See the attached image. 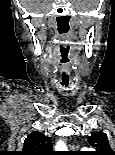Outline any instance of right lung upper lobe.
Wrapping results in <instances>:
<instances>
[{"instance_id": "obj_1", "label": "right lung upper lobe", "mask_w": 115, "mask_h": 155, "mask_svg": "<svg viewBox=\"0 0 115 155\" xmlns=\"http://www.w3.org/2000/svg\"><path fill=\"white\" fill-rule=\"evenodd\" d=\"M20 155H56L52 151V141L39 131H33L24 141Z\"/></svg>"}]
</instances>
